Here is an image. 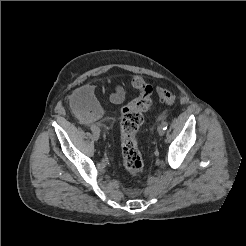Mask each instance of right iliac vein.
Returning a JSON list of instances; mask_svg holds the SVG:
<instances>
[{
  "mask_svg": "<svg viewBox=\"0 0 246 246\" xmlns=\"http://www.w3.org/2000/svg\"><path fill=\"white\" fill-rule=\"evenodd\" d=\"M99 137H100L99 131H96V132L93 133V139H94L95 141H97V140L99 139Z\"/></svg>",
  "mask_w": 246,
  "mask_h": 246,
  "instance_id": "1",
  "label": "right iliac vein"
}]
</instances>
